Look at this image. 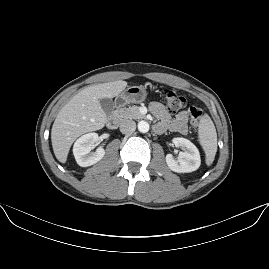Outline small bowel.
<instances>
[{
	"mask_svg": "<svg viewBox=\"0 0 269 269\" xmlns=\"http://www.w3.org/2000/svg\"><path fill=\"white\" fill-rule=\"evenodd\" d=\"M152 113L160 120L155 126L156 133H163L167 129L173 132L185 135L188 132V113L180 111L176 114L174 119H170L165 107L158 102L151 104Z\"/></svg>",
	"mask_w": 269,
	"mask_h": 269,
	"instance_id": "c3829d8e",
	"label": "small bowel"
}]
</instances>
